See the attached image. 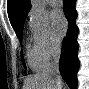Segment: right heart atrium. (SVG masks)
I'll list each match as a JSON object with an SVG mask.
<instances>
[{
  "label": "right heart atrium",
  "instance_id": "d8ad5b80",
  "mask_svg": "<svg viewBox=\"0 0 89 89\" xmlns=\"http://www.w3.org/2000/svg\"><path fill=\"white\" fill-rule=\"evenodd\" d=\"M29 25L37 53L43 60L49 62L59 49V39L46 17L32 15Z\"/></svg>",
  "mask_w": 89,
  "mask_h": 89
}]
</instances>
